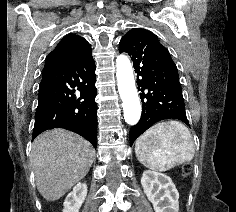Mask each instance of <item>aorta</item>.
Segmentation results:
<instances>
[{
  "mask_svg": "<svg viewBox=\"0 0 236 212\" xmlns=\"http://www.w3.org/2000/svg\"><path fill=\"white\" fill-rule=\"evenodd\" d=\"M118 91L123 102L124 119L129 125L138 123L141 105L135 86L133 69L129 58L122 54L116 59Z\"/></svg>",
  "mask_w": 236,
  "mask_h": 212,
  "instance_id": "obj_1",
  "label": "aorta"
}]
</instances>
